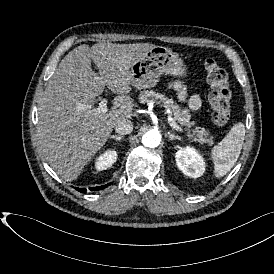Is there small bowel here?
I'll use <instances>...</instances> for the list:
<instances>
[{
    "label": "small bowel",
    "mask_w": 274,
    "mask_h": 274,
    "mask_svg": "<svg viewBox=\"0 0 274 274\" xmlns=\"http://www.w3.org/2000/svg\"><path fill=\"white\" fill-rule=\"evenodd\" d=\"M169 88L176 92L178 98L187 103L191 110H197L200 107V98L197 95L188 96L186 88L179 80L169 82Z\"/></svg>",
    "instance_id": "1"
}]
</instances>
